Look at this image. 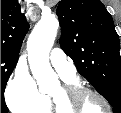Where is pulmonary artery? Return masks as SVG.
Listing matches in <instances>:
<instances>
[{"label":"pulmonary artery","instance_id":"pulmonary-artery-1","mask_svg":"<svg viewBox=\"0 0 121 113\" xmlns=\"http://www.w3.org/2000/svg\"><path fill=\"white\" fill-rule=\"evenodd\" d=\"M50 63L61 78H76V68L74 64L66 57V54L63 50L59 48L53 49L50 55Z\"/></svg>","mask_w":121,"mask_h":113}]
</instances>
